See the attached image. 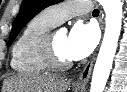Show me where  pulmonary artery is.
Listing matches in <instances>:
<instances>
[{
    "instance_id": "e3ab8cb5",
    "label": "pulmonary artery",
    "mask_w": 127,
    "mask_h": 92,
    "mask_svg": "<svg viewBox=\"0 0 127 92\" xmlns=\"http://www.w3.org/2000/svg\"><path fill=\"white\" fill-rule=\"evenodd\" d=\"M91 10L92 3L90 1H67L49 7L46 13L56 24H61L71 17L87 14Z\"/></svg>"
}]
</instances>
